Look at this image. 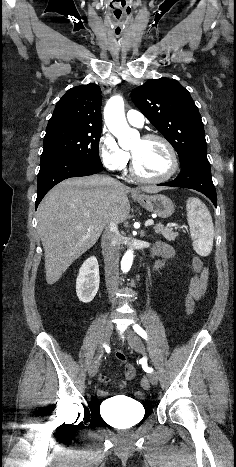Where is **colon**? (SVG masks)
<instances>
[{"label": "colon", "mask_w": 236, "mask_h": 467, "mask_svg": "<svg viewBox=\"0 0 236 467\" xmlns=\"http://www.w3.org/2000/svg\"><path fill=\"white\" fill-rule=\"evenodd\" d=\"M203 268H204L203 261H202L199 257H197V256L194 257V258H193V269H194V272H195L196 274H200L201 271L203 270ZM186 310H187V313H188V314H192L193 311H194V301H193V298H192L191 296H189V295H188V297H187V299H186ZM117 358H118L119 360H124V359H125V356H124V354H122V353L119 352V353L117 354ZM131 373H132V372L130 371L129 374H131ZM142 385H143V387H148V383H147V381H146L145 379L142 380ZM143 395H144L143 392H141V391L137 392V396H138L139 398H142Z\"/></svg>", "instance_id": "5ec220e1"}]
</instances>
